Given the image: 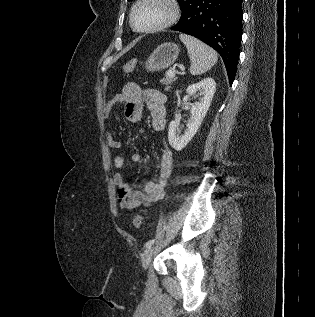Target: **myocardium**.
<instances>
[{"mask_svg": "<svg viewBox=\"0 0 315 317\" xmlns=\"http://www.w3.org/2000/svg\"><path fill=\"white\" fill-rule=\"evenodd\" d=\"M147 0H137L136 3L133 5L131 12H130V25L132 29L138 33H152L156 31H160L162 29H165L171 25H173L180 16V7L177 2V0H161L163 3H165L169 7V15L168 17L162 21L161 23L148 27V28H138L135 26L134 23V13L137 9V7L142 4L143 2H146Z\"/></svg>", "mask_w": 315, "mask_h": 317, "instance_id": "1", "label": "myocardium"}]
</instances>
